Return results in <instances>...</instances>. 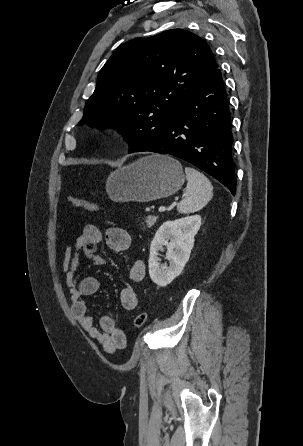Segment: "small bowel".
<instances>
[{
  "label": "small bowel",
  "mask_w": 303,
  "mask_h": 446,
  "mask_svg": "<svg viewBox=\"0 0 303 446\" xmlns=\"http://www.w3.org/2000/svg\"><path fill=\"white\" fill-rule=\"evenodd\" d=\"M106 245L114 252L127 250L131 244L130 234L123 228L110 227L102 234L101 230L92 224L85 225L82 234L77 238L74 246H66L62 257V270L65 281L70 289L71 310L81 327L95 339L107 353H114L125 349L127 336L110 315L99 319L95 326L93 318L88 313L84 297L91 296L100 288L99 280L94 276H80L78 270L81 257L85 256L94 265H103L105 260L96 253L100 243ZM129 278L133 282H140L145 278L146 266L143 260L136 259L129 266ZM120 302L125 310L132 311L138 305V297L131 287H125L120 292Z\"/></svg>",
  "instance_id": "small-bowel-1"
}]
</instances>
